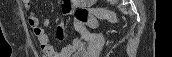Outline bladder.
Instances as JSON below:
<instances>
[{
	"mask_svg": "<svg viewBox=\"0 0 172 57\" xmlns=\"http://www.w3.org/2000/svg\"><path fill=\"white\" fill-rule=\"evenodd\" d=\"M71 57H90L89 52L74 54Z\"/></svg>",
	"mask_w": 172,
	"mask_h": 57,
	"instance_id": "bladder-1",
	"label": "bladder"
}]
</instances>
